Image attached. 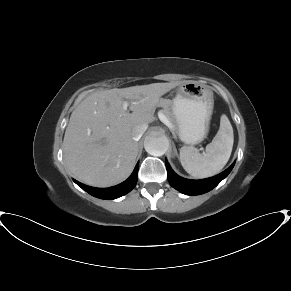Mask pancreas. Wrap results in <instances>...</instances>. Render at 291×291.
<instances>
[{"instance_id": "1", "label": "pancreas", "mask_w": 291, "mask_h": 291, "mask_svg": "<svg viewBox=\"0 0 291 291\" xmlns=\"http://www.w3.org/2000/svg\"><path fill=\"white\" fill-rule=\"evenodd\" d=\"M157 106L162 108L161 110L162 114H164L165 117L169 120V122L175 127L176 125L175 119L171 112L172 101L168 99H160Z\"/></svg>"}]
</instances>
